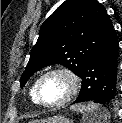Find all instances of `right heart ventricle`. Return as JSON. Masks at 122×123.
Masks as SVG:
<instances>
[{"label":"right heart ventricle","mask_w":122,"mask_h":123,"mask_svg":"<svg viewBox=\"0 0 122 123\" xmlns=\"http://www.w3.org/2000/svg\"><path fill=\"white\" fill-rule=\"evenodd\" d=\"M39 78L35 79L34 82L32 83L30 90H29V95L33 103L38 104V101L36 99V85L38 82Z\"/></svg>","instance_id":"1"}]
</instances>
